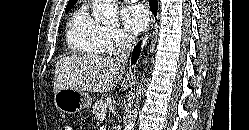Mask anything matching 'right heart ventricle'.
I'll use <instances>...</instances> for the list:
<instances>
[{"instance_id": "obj_1", "label": "right heart ventricle", "mask_w": 249, "mask_h": 130, "mask_svg": "<svg viewBox=\"0 0 249 130\" xmlns=\"http://www.w3.org/2000/svg\"><path fill=\"white\" fill-rule=\"evenodd\" d=\"M66 41L76 54L102 55L107 52L104 26L89 13L85 4L80 5L67 24Z\"/></svg>"}]
</instances>
